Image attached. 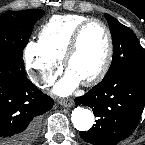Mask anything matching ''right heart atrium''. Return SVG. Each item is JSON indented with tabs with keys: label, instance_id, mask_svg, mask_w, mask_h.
Instances as JSON below:
<instances>
[{
	"label": "right heart atrium",
	"instance_id": "right-heart-atrium-1",
	"mask_svg": "<svg viewBox=\"0 0 145 145\" xmlns=\"http://www.w3.org/2000/svg\"><path fill=\"white\" fill-rule=\"evenodd\" d=\"M26 68L40 86L50 85L61 69V60L46 52L39 42H29L24 50Z\"/></svg>",
	"mask_w": 145,
	"mask_h": 145
}]
</instances>
